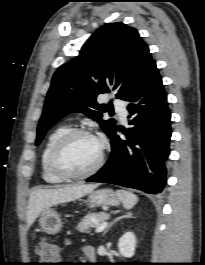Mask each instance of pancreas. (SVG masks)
Wrapping results in <instances>:
<instances>
[{"label":"pancreas","mask_w":205,"mask_h":265,"mask_svg":"<svg viewBox=\"0 0 205 265\" xmlns=\"http://www.w3.org/2000/svg\"><path fill=\"white\" fill-rule=\"evenodd\" d=\"M109 215L107 213H89L81 220V222L76 227L81 233H88L91 228L97 227L101 223H103ZM97 221V223L94 222Z\"/></svg>","instance_id":"cf45deb5"}]
</instances>
